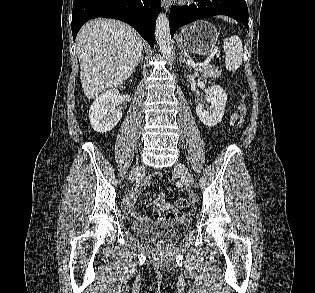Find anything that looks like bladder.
<instances>
[{
	"label": "bladder",
	"instance_id": "31cf9c89",
	"mask_svg": "<svg viewBox=\"0 0 315 293\" xmlns=\"http://www.w3.org/2000/svg\"><path fill=\"white\" fill-rule=\"evenodd\" d=\"M132 229L140 237L157 244L169 243L179 233V228L175 225L149 220L133 222Z\"/></svg>",
	"mask_w": 315,
	"mask_h": 293
}]
</instances>
